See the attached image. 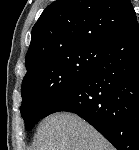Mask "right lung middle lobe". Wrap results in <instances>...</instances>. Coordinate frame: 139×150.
Instances as JSON below:
<instances>
[{"label":"right lung middle lobe","mask_w":139,"mask_h":150,"mask_svg":"<svg viewBox=\"0 0 139 150\" xmlns=\"http://www.w3.org/2000/svg\"><path fill=\"white\" fill-rule=\"evenodd\" d=\"M107 46H94L56 54L25 75L22 82L21 115L31 130L63 93L80 82Z\"/></svg>","instance_id":"dd1d6c3e"}]
</instances>
